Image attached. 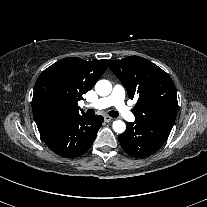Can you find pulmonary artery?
Returning a JSON list of instances; mask_svg holds the SVG:
<instances>
[{
    "label": "pulmonary artery",
    "mask_w": 207,
    "mask_h": 207,
    "mask_svg": "<svg viewBox=\"0 0 207 207\" xmlns=\"http://www.w3.org/2000/svg\"><path fill=\"white\" fill-rule=\"evenodd\" d=\"M125 91L122 86L116 85L111 94L107 97L97 99L87 105L92 109H104L115 106L120 115L129 121H134V116L129 112L128 107L124 103Z\"/></svg>",
    "instance_id": "obj_1"
}]
</instances>
